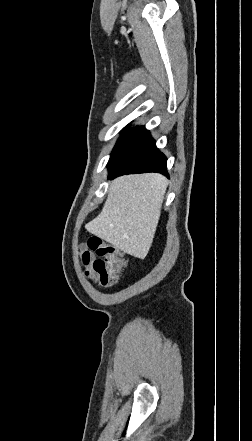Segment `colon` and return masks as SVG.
Returning <instances> with one entry per match:
<instances>
[{
    "mask_svg": "<svg viewBox=\"0 0 252 441\" xmlns=\"http://www.w3.org/2000/svg\"><path fill=\"white\" fill-rule=\"evenodd\" d=\"M81 260L85 275L103 286L114 285L126 267L121 250L95 236L88 239Z\"/></svg>",
    "mask_w": 252,
    "mask_h": 441,
    "instance_id": "obj_1",
    "label": "colon"
}]
</instances>
